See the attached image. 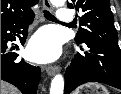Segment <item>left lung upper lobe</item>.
Here are the masks:
<instances>
[{
    "label": "left lung upper lobe",
    "instance_id": "obj_1",
    "mask_svg": "<svg viewBox=\"0 0 121 94\" xmlns=\"http://www.w3.org/2000/svg\"><path fill=\"white\" fill-rule=\"evenodd\" d=\"M68 8L80 12L78 16L80 27L75 37L78 44L88 41L118 44V34L109 0H69Z\"/></svg>",
    "mask_w": 121,
    "mask_h": 94
}]
</instances>
